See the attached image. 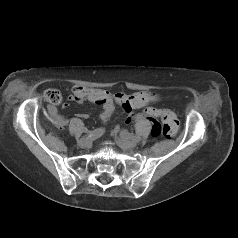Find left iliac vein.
<instances>
[{"label":"left iliac vein","mask_w":238,"mask_h":238,"mask_svg":"<svg viewBox=\"0 0 238 238\" xmlns=\"http://www.w3.org/2000/svg\"><path fill=\"white\" fill-rule=\"evenodd\" d=\"M117 141H118L119 146L124 150L132 149L136 146L135 141L128 140L124 136H120L119 138H117Z\"/></svg>","instance_id":"obj_1"}]
</instances>
